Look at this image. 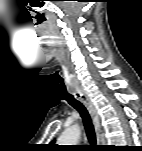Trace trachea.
Returning a JSON list of instances; mask_svg holds the SVG:
<instances>
[{
  "label": "trachea",
  "mask_w": 142,
  "mask_h": 151,
  "mask_svg": "<svg viewBox=\"0 0 142 151\" xmlns=\"http://www.w3.org/2000/svg\"><path fill=\"white\" fill-rule=\"evenodd\" d=\"M63 99H65L73 108H75L79 112V114L83 120V124L85 127V131H86L88 140L91 143L96 144L95 129H94L91 117H90L89 112L86 109V107L83 105V103H81L72 94L66 93L63 96Z\"/></svg>",
  "instance_id": "3493384b"
}]
</instances>
